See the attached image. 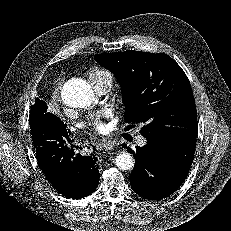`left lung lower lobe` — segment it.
Instances as JSON below:
<instances>
[{"label":"left lung lower lobe","instance_id":"obj_1","mask_svg":"<svg viewBox=\"0 0 231 231\" xmlns=\"http://www.w3.org/2000/svg\"><path fill=\"white\" fill-rule=\"evenodd\" d=\"M147 139L134 152L124 145L135 158L130 184L140 196L159 200L173 194L184 182L194 159L196 140L167 144L159 139Z\"/></svg>","mask_w":231,"mask_h":231}]
</instances>
